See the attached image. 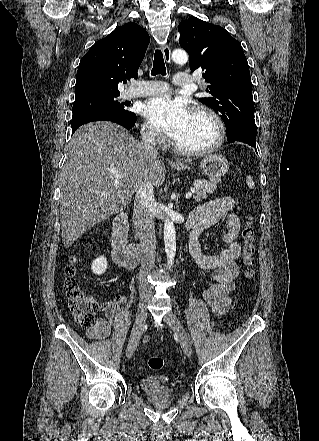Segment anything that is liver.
Wrapping results in <instances>:
<instances>
[{"mask_svg":"<svg viewBox=\"0 0 319 441\" xmlns=\"http://www.w3.org/2000/svg\"><path fill=\"white\" fill-rule=\"evenodd\" d=\"M112 171L128 176L117 180ZM165 174L164 163L146 155L144 147L123 127L107 121L79 127L68 145L59 180L64 247L125 209L147 182L161 186Z\"/></svg>","mask_w":319,"mask_h":441,"instance_id":"liver-1","label":"liver"}]
</instances>
